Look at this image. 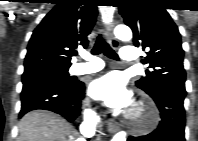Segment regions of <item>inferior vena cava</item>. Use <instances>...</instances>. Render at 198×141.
I'll list each match as a JSON object with an SVG mask.
<instances>
[{
    "label": "inferior vena cava",
    "mask_w": 198,
    "mask_h": 141,
    "mask_svg": "<svg viewBox=\"0 0 198 141\" xmlns=\"http://www.w3.org/2000/svg\"><path fill=\"white\" fill-rule=\"evenodd\" d=\"M99 121V118L96 116L95 113L90 112L87 114L85 118V122L90 125L87 130H84L83 127L80 129L86 136L91 137L95 133V125Z\"/></svg>",
    "instance_id": "inferior-vena-cava-1"
}]
</instances>
